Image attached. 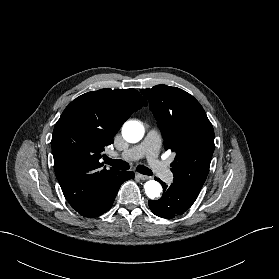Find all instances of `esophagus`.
<instances>
[{
    "mask_svg": "<svg viewBox=\"0 0 279 279\" xmlns=\"http://www.w3.org/2000/svg\"><path fill=\"white\" fill-rule=\"evenodd\" d=\"M137 177L141 180H148V179H151L150 176H147V175H143V174H137Z\"/></svg>",
    "mask_w": 279,
    "mask_h": 279,
    "instance_id": "esophagus-1",
    "label": "esophagus"
}]
</instances>
